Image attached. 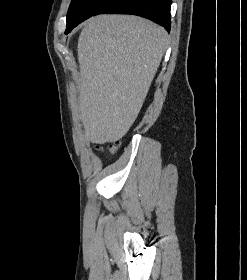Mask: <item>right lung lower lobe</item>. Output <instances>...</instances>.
Instances as JSON below:
<instances>
[{
  "instance_id": "obj_1",
  "label": "right lung lower lobe",
  "mask_w": 247,
  "mask_h": 280,
  "mask_svg": "<svg viewBox=\"0 0 247 280\" xmlns=\"http://www.w3.org/2000/svg\"><path fill=\"white\" fill-rule=\"evenodd\" d=\"M170 7L171 0H106L94 15L104 13L138 15L148 18L170 31ZM74 27L67 28L65 34H68Z\"/></svg>"
}]
</instances>
